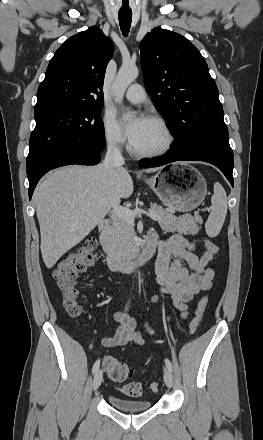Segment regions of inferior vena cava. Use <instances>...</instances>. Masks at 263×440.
Listing matches in <instances>:
<instances>
[{
	"mask_svg": "<svg viewBox=\"0 0 263 440\" xmlns=\"http://www.w3.org/2000/svg\"><path fill=\"white\" fill-rule=\"evenodd\" d=\"M123 165L124 158L122 157L121 149L117 145L116 141H111L108 144L107 153L104 160V167L111 175H114L119 169L122 168ZM117 202H120L119 199Z\"/></svg>",
	"mask_w": 263,
	"mask_h": 440,
	"instance_id": "inferior-vena-cava-1",
	"label": "inferior vena cava"
}]
</instances>
